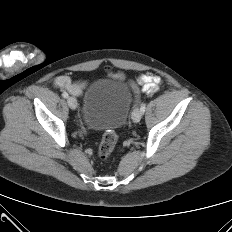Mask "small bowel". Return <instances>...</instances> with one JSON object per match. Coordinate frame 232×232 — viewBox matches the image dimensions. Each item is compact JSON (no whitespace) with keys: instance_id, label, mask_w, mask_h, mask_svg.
<instances>
[{"instance_id":"c3829d8e","label":"small bowel","mask_w":232,"mask_h":232,"mask_svg":"<svg viewBox=\"0 0 232 232\" xmlns=\"http://www.w3.org/2000/svg\"><path fill=\"white\" fill-rule=\"evenodd\" d=\"M106 72L108 76L117 80H124L126 77L122 72H114L110 69H108ZM161 84V79L158 76L144 74L139 78L138 82H131L130 85L136 97H138L141 92L148 95L157 92L161 87ZM55 85L58 88L68 90L73 95L80 96L86 87V82L74 81L68 76H59L55 80Z\"/></svg>"}]
</instances>
